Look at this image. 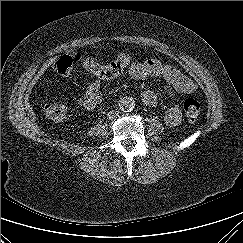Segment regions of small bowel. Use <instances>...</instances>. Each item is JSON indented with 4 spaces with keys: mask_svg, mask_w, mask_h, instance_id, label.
Here are the masks:
<instances>
[{
    "mask_svg": "<svg viewBox=\"0 0 243 243\" xmlns=\"http://www.w3.org/2000/svg\"><path fill=\"white\" fill-rule=\"evenodd\" d=\"M129 74L132 78L141 80L146 77L163 78L174 91L189 94L196 90L195 83L182 74L174 66L157 59L135 62L130 65ZM165 95L163 91L145 90L142 100L151 107H157L159 99ZM80 104L88 110L94 109L101 102L100 83L95 81L87 86L79 98ZM182 119L179 106L174 105L164 113V122L169 127H176Z\"/></svg>",
    "mask_w": 243,
    "mask_h": 243,
    "instance_id": "small-bowel-1",
    "label": "small bowel"
}]
</instances>
